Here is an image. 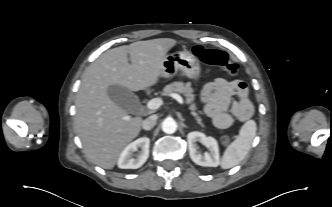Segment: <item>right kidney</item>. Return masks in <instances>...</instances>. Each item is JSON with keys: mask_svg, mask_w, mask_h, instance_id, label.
Returning <instances> with one entry per match:
<instances>
[{"mask_svg": "<svg viewBox=\"0 0 332 207\" xmlns=\"http://www.w3.org/2000/svg\"><path fill=\"white\" fill-rule=\"evenodd\" d=\"M150 139L142 137L130 143L120 154L118 159V167L121 169H137L140 168L148 159ZM140 149L136 158L133 153Z\"/></svg>", "mask_w": 332, "mask_h": 207, "instance_id": "obj_1", "label": "right kidney"}]
</instances>
